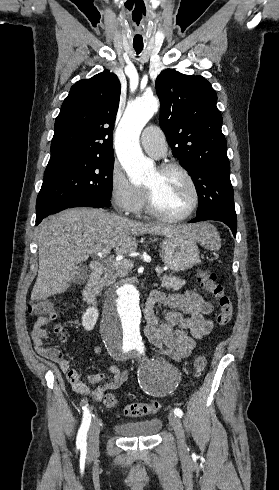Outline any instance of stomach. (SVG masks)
Segmentation results:
<instances>
[{"label": "stomach", "mask_w": 279, "mask_h": 490, "mask_svg": "<svg viewBox=\"0 0 279 490\" xmlns=\"http://www.w3.org/2000/svg\"><path fill=\"white\" fill-rule=\"evenodd\" d=\"M160 244V258L171 270L176 272H186L193 266L200 264L199 250L195 238L186 234H163Z\"/></svg>", "instance_id": "stomach-1"}]
</instances>
